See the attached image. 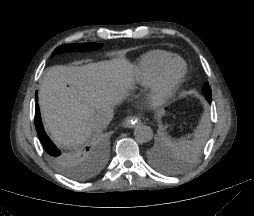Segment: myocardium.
<instances>
[{
	"label": "myocardium",
	"mask_w": 254,
	"mask_h": 216,
	"mask_svg": "<svg viewBox=\"0 0 254 216\" xmlns=\"http://www.w3.org/2000/svg\"><path fill=\"white\" fill-rule=\"evenodd\" d=\"M175 63L180 64V71L174 78L169 79L167 77L168 70ZM186 73V62L181 57H171L157 71L153 82L147 90L146 101L156 107L166 105L184 80Z\"/></svg>",
	"instance_id": "1"
}]
</instances>
